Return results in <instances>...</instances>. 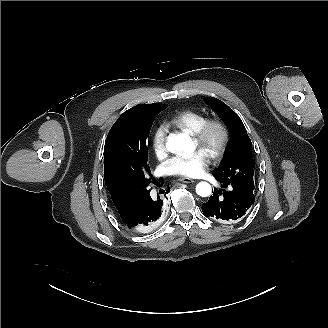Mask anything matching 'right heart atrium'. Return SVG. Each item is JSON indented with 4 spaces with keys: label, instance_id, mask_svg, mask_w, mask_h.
<instances>
[{
    "label": "right heart atrium",
    "instance_id": "right-heart-atrium-1",
    "mask_svg": "<svg viewBox=\"0 0 328 328\" xmlns=\"http://www.w3.org/2000/svg\"><path fill=\"white\" fill-rule=\"evenodd\" d=\"M167 132V126L162 122L156 123L151 130L149 147L153 154L159 158H163L168 154L166 145Z\"/></svg>",
    "mask_w": 328,
    "mask_h": 328
}]
</instances>
